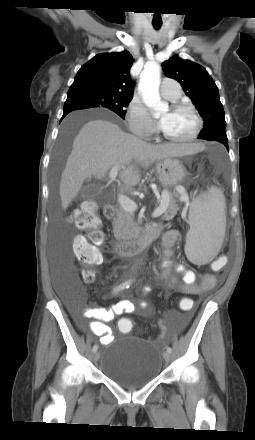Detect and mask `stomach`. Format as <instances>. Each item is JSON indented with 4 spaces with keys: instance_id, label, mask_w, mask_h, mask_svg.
Wrapping results in <instances>:
<instances>
[{
    "instance_id": "0dacf381",
    "label": "stomach",
    "mask_w": 255,
    "mask_h": 440,
    "mask_svg": "<svg viewBox=\"0 0 255 440\" xmlns=\"http://www.w3.org/2000/svg\"><path fill=\"white\" fill-rule=\"evenodd\" d=\"M156 171L158 180L164 187H173L180 184L186 174L185 167L178 159L172 157L159 161Z\"/></svg>"
}]
</instances>
